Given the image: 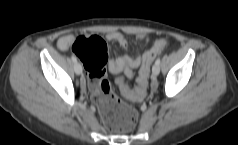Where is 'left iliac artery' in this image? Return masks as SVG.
I'll return each instance as SVG.
<instances>
[{
    "label": "left iliac artery",
    "instance_id": "1",
    "mask_svg": "<svg viewBox=\"0 0 238 145\" xmlns=\"http://www.w3.org/2000/svg\"><path fill=\"white\" fill-rule=\"evenodd\" d=\"M160 61H161V59H160V57L159 58H157V60L155 61V64H160Z\"/></svg>",
    "mask_w": 238,
    "mask_h": 145
}]
</instances>
